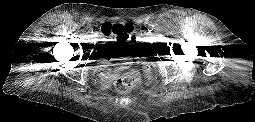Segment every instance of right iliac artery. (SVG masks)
I'll use <instances>...</instances> for the list:
<instances>
[{"label": "right iliac artery", "instance_id": "82829eb1", "mask_svg": "<svg viewBox=\"0 0 255 122\" xmlns=\"http://www.w3.org/2000/svg\"><path fill=\"white\" fill-rule=\"evenodd\" d=\"M87 30H88V32H92L93 30H92V28L91 27H87Z\"/></svg>", "mask_w": 255, "mask_h": 122}]
</instances>
